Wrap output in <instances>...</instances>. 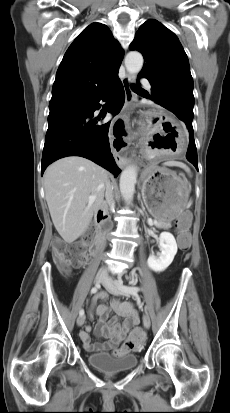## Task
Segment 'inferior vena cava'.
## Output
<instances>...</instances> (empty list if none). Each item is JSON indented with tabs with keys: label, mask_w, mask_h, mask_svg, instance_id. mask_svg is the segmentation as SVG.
Masks as SVG:
<instances>
[{
	"label": "inferior vena cava",
	"mask_w": 230,
	"mask_h": 413,
	"mask_svg": "<svg viewBox=\"0 0 230 413\" xmlns=\"http://www.w3.org/2000/svg\"><path fill=\"white\" fill-rule=\"evenodd\" d=\"M112 193H113V187L111 186L110 182H108L106 185L105 198H106V203L109 205L111 210L115 207V201L113 199ZM101 272L106 273L107 272L106 268L101 269Z\"/></svg>",
	"instance_id": "inferior-vena-cava-1"
}]
</instances>
